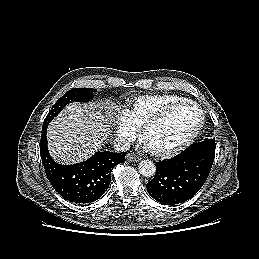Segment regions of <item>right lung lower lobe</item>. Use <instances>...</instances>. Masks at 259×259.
<instances>
[{
  "label": "right lung lower lobe",
  "mask_w": 259,
  "mask_h": 259,
  "mask_svg": "<svg viewBox=\"0 0 259 259\" xmlns=\"http://www.w3.org/2000/svg\"><path fill=\"white\" fill-rule=\"evenodd\" d=\"M48 124H43L40 155L48 180L65 199L74 203H91L108 189L114 166L125 162V152L98 151L84 162L73 165L56 163L48 152Z\"/></svg>",
  "instance_id": "obj_1"
}]
</instances>
